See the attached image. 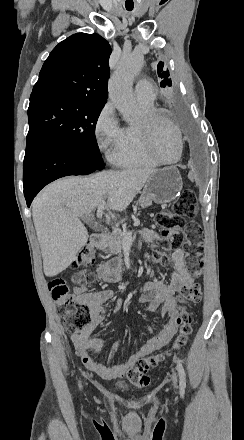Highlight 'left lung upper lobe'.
<instances>
[{"mask_svg": "<svg viewBox=\"0 0 244 440\" xmlns=\"http://www.w3.org/2000/svg\"><path fill=\"white\" fill-rule=\"evenodd\" d=\"M157 72H158V76L164 79L161 81L160 86L161 87H166V86L170 87L172 85V83H171V79L169 78V71L164 70V63L163 62H159Z\"/></svg>", "mask_w": 244, "mask_h": 440, "instance_id": "1", "label": "left lung upper lobe"}]
</instances>
